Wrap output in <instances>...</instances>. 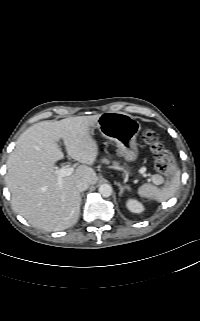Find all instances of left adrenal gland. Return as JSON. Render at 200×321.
<instances>
[{"mask_svg": "<svg viewBox=\"0 0 200 321\" xmlns=\"http://www.w3.org/2000/svg\"><path fill=\"white\" fill-rule=\"evenodd\" d=\"M116 184H117V186L119 187V190H120L119 196H122V194H123L125 189H127V190L130 189L128 186H122L120 183H116Z\"/></svg>", "mask_w": 200, "mask_h": 321, "instance_id": "obj_1", "label": "left adrenal gland"}]
</instances>
